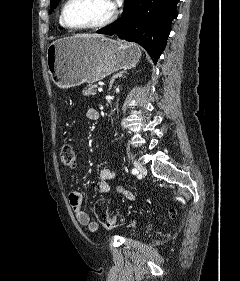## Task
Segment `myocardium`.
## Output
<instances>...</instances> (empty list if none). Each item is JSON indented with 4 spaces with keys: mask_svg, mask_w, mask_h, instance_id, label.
Listing matches in <instances>:
<instances>
[{
    "mask_svg": "<svg viewBox=\"0 0 240 281\" xmlns=\"http://www.w3.org/2000/svg\"><path fill=\"white\" fill-rule=\"evenodd\" d=\"M71 1L72 0L65 1V3L62 6L61 14H60V18H61L63 25L68 29H72V30L98 29V28L104 27V26L110 24L111 22H113L117 16V8H116L115 4H113L112 12L104 20L97 22V23H93V24H87V25H73V24L69 23V21L67 20V17H66V10H67L68 5L71 3Z\"/></svg>",
    "mask_w": 240,
    "mask_h": 281,
    "instance_id": "myocardium-1",
    "label": "myocardium"
}]
</instances>
